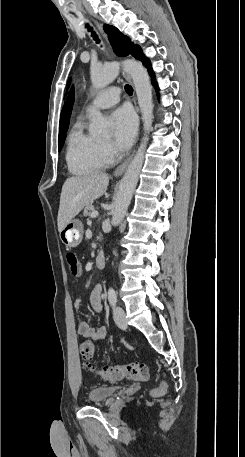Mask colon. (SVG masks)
<instances>
[{"instance_id":"obj_1","label":"colon","mask_w":245,"mask_h":457,"mask_svg":"<svg viewBox=\"0 0 245 457\" xmlns=\"http://www.w3.org/2000/svg\"><path fill=\"white\" fill-rule=\"evenodd\" d=\"M66 260L71 275L76 277L80 276L81 264L77 255L73 252H68L66 254ZM94 349V342L92 340H86L79 345V354L84 361L85 368L96 372L101 379L108 382H116L122 379L144 381L148 378V368L145 364L141 363H128L96 369L91 362L94 355ZM165 389L166 384L163 383L155 389L154 392L160 394L164 392Z\"/></svg>"}]
</instances>
